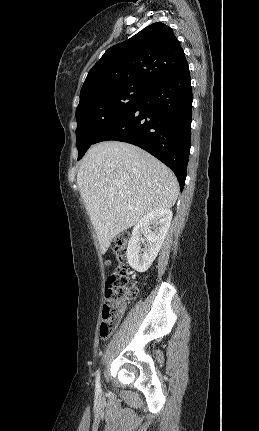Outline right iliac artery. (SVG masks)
I'll list each match as a JSON object with an SVG mask.
<instances>
[{
	"label": "right iliac artery",
	"mask_w": 259,
	"mask_h": 431,
	"mask_svg": "<svg viewBox=\"0 0 259 431\" xmlns=\"http://www.w3.org/2000/svg\"><path fill=\"white\" fill-rule=\"evenodd\" d=\"M96 390L97 391L100 390V372H99V370L97 371V376H96Z\"/></svg>",
	"instance_id": "1"
}]
</instances>
